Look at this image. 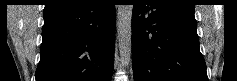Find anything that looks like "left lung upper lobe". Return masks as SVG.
Wrapping results in <instances>:
<instances>
[{
  "label": "left lung upper lobe",
  "mask_w": 237,
  "mask_h": 81,
  "mask_svg": "<svg viewBox=\"0 0 237 81\" xmlns=\"http://www.w3.org/2000/svg\"><path fill=\"white\" fill-rule=\"evenodd\" d=\"M173 5L181 6L186 9L194 10V4L192 0H163Z\"/></svg>",
  "instance_id": "1"
}]
</instances>
